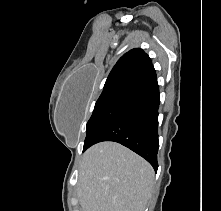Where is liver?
<instances>
[{
	"mask_svg": "<svg viewBox=\"0 0 221 211\" xmlns=\"http://www.w3.org/2000/svg\"><path fill=\"white\" fill-rule=\"evenodd\" d=\"M153 184L146 160L121 144L102 142L83 155L77 195L82 211H144Z\"/></svg>",
	"mask_w": 221,
	"mask_h": 211,
	"instance_id": "obj_1",
	"label": "liver"
}]
</instances>
